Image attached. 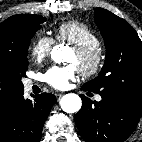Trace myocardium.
<instances>
[{
    "label": "myocardium",
    "instance_id": "1",
    "mask_svg": "<svg viewBox=\"0 0 142 142\" xmlns=\"http://www.w3.org/2000/svg\"><path fill=\"white\" fill-rule=\"evenodd\" d=\"M79 63L78 71L84 77L98 74L104 66L105 54L100 46L74 47Z\"/></svg>",
    "mask_w": 142,
    "mask_h": 142
}]
</instances>
